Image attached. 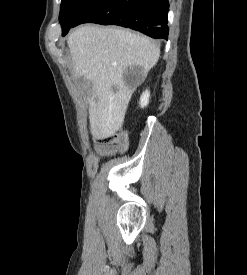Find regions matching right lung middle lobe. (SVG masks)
I'll list each match as a JSON object with an SVG mask.
<instances>
[{
  "mask_svg": "<svg viewBox=\"0 0 247 275\" xmlns=\"http://www.w3.org/2000/svg\"><path fill=\"white\" fill-rule=\"evenodd\" d=\"M99 1L101 0H62L59 15L62 32L69 30L84 11Z\"/></svg>",
  "mask_w": 247,
  "mask_h": 275,
  "instance_id": "obj_1",
  "label": "right lung middle lobe"
}]
</instances>
